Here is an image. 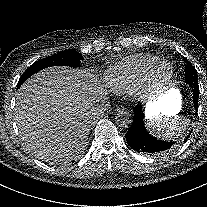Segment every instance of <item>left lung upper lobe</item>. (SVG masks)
<instances>
[{
    "mask_svg": "<svg viewBox=\"0 0 207 207\" xmlns=\"http://www.w3.org/2000/svg\"><path fill=\"white\" fill-rule=\"evenodd\" d=\"M184 61L187 63L185 68V82L188 84L191 81L197 80L198 76L195 67L192 66L186 58H184Z\"/></svg>",
    "mask_w": 207,
    "mask_h": 207,
    "instance_id": "5c2ea615",
    "label": "left lung upper lobe"
}]
</instances>
